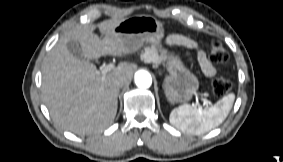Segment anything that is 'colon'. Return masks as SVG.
<instances>
[{
	"label": "colon",
	"instance_id": "5ec220e1",
	"mask_svg": "<svg viewBox=\"0 0 283 162\" xmlns=\"http://www.w3.org/2000/svg\"><path fill=\"white\" fill-rule=\"evenodd\" d=\"M210 59L215 63H223L228 59V53L223 45L215 41L210 48ZM232 88V82L226 75H219L212 82V90L215 96L222 97Z\"/></svg>",
	"mask_w": 283,
	"mask_h": 162
}]
</instances>
